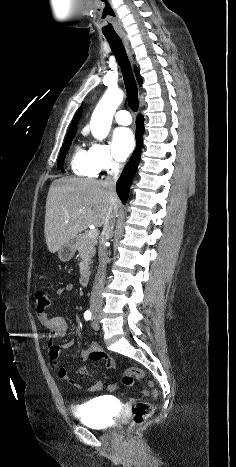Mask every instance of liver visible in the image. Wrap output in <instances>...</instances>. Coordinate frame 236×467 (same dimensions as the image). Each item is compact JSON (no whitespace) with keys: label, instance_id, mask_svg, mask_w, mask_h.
I'll use <instances>...</instances> for the list:
<instances>
[{"label":"liver","instance_id":"obj_1","mask_svg":"<svg viewBox=\"0 0 236 467\" xmlns=\"http://www.w3.org/2000/svg\"><path fill=\"white\" fill-rule=\"evenodd\" d=\"M112 204V215L119 199L101 180L60 178L54 180L46 200L44 234L48 250L55 253L90 225L101 227Z\"/></svg>","mask_w":236,"mask_h":467}]
</instances>
